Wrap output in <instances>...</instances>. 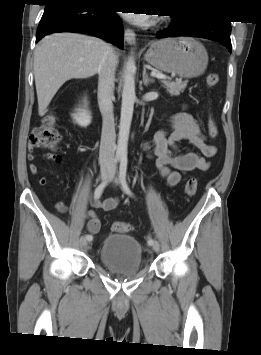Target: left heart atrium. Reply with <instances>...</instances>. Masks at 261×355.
Listing matches in <instances>:
<instances>
[{
  "mask_svg": "<svg viewBox=\"0 0 261 355\" xmlns=\"http://www.w3.org/2000/svg\"><path fill=\"white\" fill-rule=\"evenodd\" d=\"M123 15L128 21L138 25H146L153 19L150 13H124Z\"/></svg>",
  "mask_w": 261,
  "mask_h": 355,
  "instance_id": "obj_1",
  "label": "left heart atrium"
}]
</instances>
